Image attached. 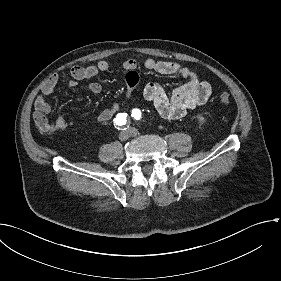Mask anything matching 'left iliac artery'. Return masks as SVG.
<instances>
[{"mask_svg": "<svg viewBox=\"0 0 281 281\" xmlns=\"http://www.w3.org/2000/svg\"><path fill=\"white\" fill-rule=\"evenodd\" d=\"M132 117L135 120H139L141 118V111L139 109H133L132 111Z\"/></svg>", "mask_w": 281, "mask_h": 281, "instance_id": "44dca946", "label": "left iliac artery"}]
</instances>
